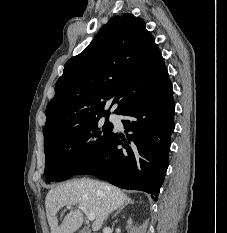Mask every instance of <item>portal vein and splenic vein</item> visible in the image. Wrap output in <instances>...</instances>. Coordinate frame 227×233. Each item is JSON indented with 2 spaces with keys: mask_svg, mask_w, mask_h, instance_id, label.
Masks as SVG:
<instances>
[{
  "mask_svg": "<svg viewBox=\"0 0 227 233\" xmlns=\"http://www.w3.org/2000/svg\"><path fill=\"white\" fill-rule=\"evenodd\" d=\"M78 208L86 214L88 220L93 221L95 219V214L93 212L88 211L84 206L78 205Z\"/></svg>",
  "mask_w": 227,
  "mask_h": 233,
  "instance_id": "obj_1",
  "label": "portal vein and splenic vein"
}]
</instances>
